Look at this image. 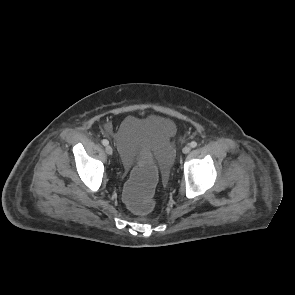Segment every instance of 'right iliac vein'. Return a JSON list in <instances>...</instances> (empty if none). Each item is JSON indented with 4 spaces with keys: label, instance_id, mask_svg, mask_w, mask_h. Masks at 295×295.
Instances as JSON below:
<instances>
[{
    "label": "right iliac vein",
    "instance_id": "obj_1",
    "mask_svg": "<svg viewBox=\"0 0 295 295\" xmlns=\"http://www.w3.org/2000/svg\"><path fill=\"white\" fill-rule=\"evenodd\" d=\"M105 151L108 155H111L113 153V149L110 145H106Z\"/></svg>",
    "mask_w": 295,
    "mask_h": 295
}]
</instances>
